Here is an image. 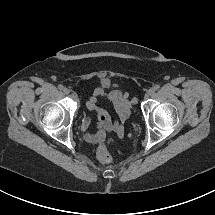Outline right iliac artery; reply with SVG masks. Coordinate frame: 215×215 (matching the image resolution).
<instances>
[{
	"instance_id": "obj_1",
	"label": "right iliac artery",
	"mask_w": 215,
	"mask_h": 215,
	"mask_svg": "<svg viewBox=\"0 0 215 215\" xmlns=\"http://www.w3.org/2000/svg\"><path fill=\"white\" fill-rule=\"evenodd\" d=\"M58 89L62 90L63 89V85H58Z\"/></svg>"
}]
</instances>
